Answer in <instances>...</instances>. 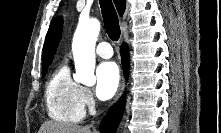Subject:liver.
<instances>
[{
    "label": "liver",
    "mask_w": 221,
    "mask_h": 133,
    "mask_svg": "<svg viewBox=\"0 0 221 133\" xmlns=\"http://www.w3.org/2000/svg\"><path fill=\"white\" fill-rule=\"evenodd\" d=\"M39 133H95L87 126L71 125L61 122H45Z\"/></svg>",
    "instance_id": "6515ba94"
}]
</instances>
